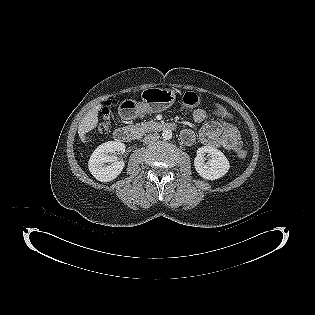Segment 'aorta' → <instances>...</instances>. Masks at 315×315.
<instances>
[{
  "instance_id": "762f6f07",
  "label": "aorta",
  "mask_w": 315,
  "mask_h": 315,
  "mask_svg": "<svg viewBox=\"0 0 315 315\" xmlns=\"http://www.w3.org/2000/svg\"><path fill=\"white\" fill-rule=\"evenodd\" d=\"M162 136L165 140H170L172 138V131L171 130H164L162 132Z\"/></svg>"
}]
</instances>
